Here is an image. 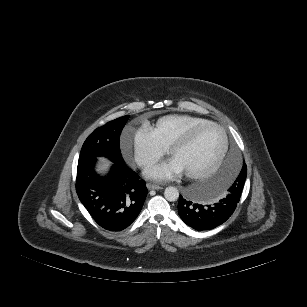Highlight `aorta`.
Listing matches in <instances>:
<instances>
[{
    "label": "aorta",
    "mask_w": 307,
    "mask_h": 307,
    "mask_svg": "<svg viewBox=\"0 0 307 307\" xmlns=\"http://www.w3.org/2000/svg\"><path fill=\"white\" fill-rule=\"evenodd\" d=\"M164 197L167 201L174 202L179 197V191L176 187L169 186L164 191Z\"/></svg>",
    "instance_id": "aorta-1"
}]
</instances>
